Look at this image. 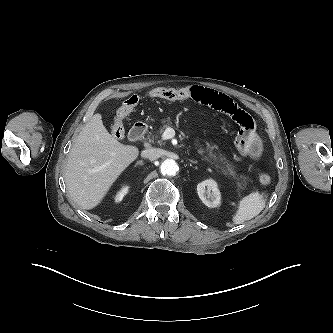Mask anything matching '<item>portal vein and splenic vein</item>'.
Returning a JSON list of instances; mask_svg holds the SVG:
<instances>
[{
  "mask_svg": "<svg viewBox=\"0 0 333 333\" xmlns=\"http://www.w3.org/2000/svg\"><path fill=\"white\" fill-rule=\"evenodd\" d=\"M175 135V130L171 127H168L162 134V139L163 140H168L173 138Z\"/></svg>",
  "mask_w": 333,
  "mask_h": 333,
  "instance_id": "obj_1",
  "label": "portal vein and splenic vein"
}]
</instances>
